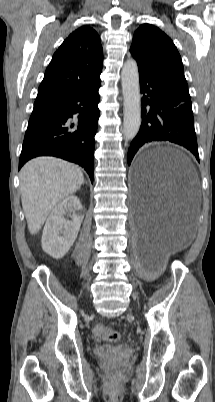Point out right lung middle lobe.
Masks as SVG:
<instances>
[{"instance_id":"dd1d6c3e","label":"right lung middle lobe","mask_w":215,"mask_h":402,"mask_svg":"<svg viewBox=\"0 0 215 402\" xmlns=\"http://www.w3.org/2000/svg\"><path fill=\"white\" fill-rule=\"evenodd\" d=\"M53 104L54 103H34V108L29 121L46 112L53 106Z\"/></svg>"}]
</instances>
